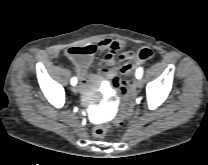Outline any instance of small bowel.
Here are the masks:
<instances>
[{
    "label": "small bowel",
    "mask_w": 208,
    "mask_h": 165,
    "mask_svg": "<svg viewBox=\"0 0 208 165\" xmlns=\"http://www.w3.org/2000/svg\"><path fill=\"white\" fill-rule=\"evenodd\" d=\"M123 46L120 41H115L110 38L102 39L98 44H86L83 47L87 49V53L83 55H67V59L74 65L78 75L82 93H86L92 88L99 87L104 81L110 80V90L106 96L109 103L114 104L118 101L120 94L123 92V84L117 76L115 68H102L95 74H89L88 69L91 60L97 50L105 51V62L108 65H113L116 60L126 61L134 55L133 52H124L117 56L118 50Z\"/></svg>",
    "instance_id": "1"
}]
</instances>
